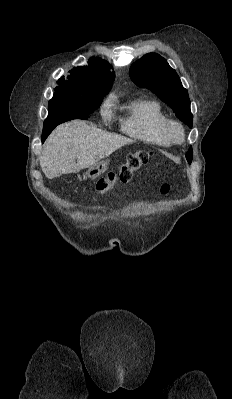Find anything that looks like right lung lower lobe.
Masks as SVG:
<instances>
[{
    "label": "right lung lower lobe",
    "instance_id": "obj_1",
    "mask_svg": "<svg viewBox=\"0 0 232 399\" xmlns=\"http://www.w3.org/2000/svg\"><path fill=\"white\" fill-rule=\"evenodd\" d=\"M90 115H84L80 117L64 114V113H57L52 112L49 110V115L44 122L43 133H42V143L48 137V135L52 132V130L59 124L64 123L69 120L73 119H88Z\"/></svg>",
    "mask_w": 232,
    "mask_h": 399
}]
</instances>
